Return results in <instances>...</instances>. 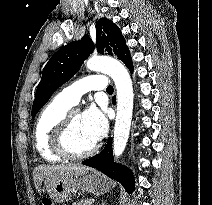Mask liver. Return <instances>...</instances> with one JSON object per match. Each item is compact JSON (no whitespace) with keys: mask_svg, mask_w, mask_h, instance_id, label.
Wrapping results in <instances>:
<instances>
[{"mask_svg":"<svg viewBox=\"0 0 212 205\" xmlns=\"http://www.w3.org/2000/svg\"><path fill=\"white\" fill-rule=\"evenodd\" d=\"M90 170L87 166L82 165H40L34 170V183L37 191L41 193V184L43 178L48 176H64V175H83Z\"/></svg>","mask_w":212,"mask_h":205,"instance_id":"1","label":"liver"}]
</instances>
